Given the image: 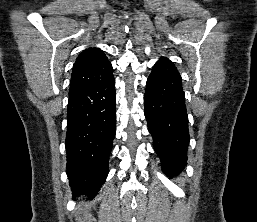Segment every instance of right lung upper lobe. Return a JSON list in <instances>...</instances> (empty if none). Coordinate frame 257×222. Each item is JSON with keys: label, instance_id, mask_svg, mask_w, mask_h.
<instances>
[{"label": "right lung upper lobe", "instance_id": "cb5924a9", "mask_svg": "<svg viewBox=\"0 0 257 222\" xmlns=\"http://www.w3.org/2000/svg\"><path fill=\"white\" fill-rule=\"evenodd\" d=\"M112 65L99 48L82 51L73 66L69 95L83 91L108 76Z\"/></svg>", "mask_w": 257, "mask_h": 222}]
</instances>
